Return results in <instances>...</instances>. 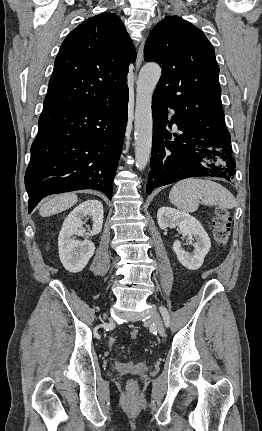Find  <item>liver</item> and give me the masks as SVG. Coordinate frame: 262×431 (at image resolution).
I'll return each mask as SVG.
<instances>
[{
	"instance_id": "1",
	"label": "liver",
	"mask_w": 262,
	"mask_h": 431,
	"mask_svg": "<svg viewBox=\"0 0 262 431\" xmlns=\"http://www.w3.org/2000/svg\"><path fill=\"white\" fill-rule=\"evenodd\" d=\"M78 201L75 193H64L51 197L39 209V214L42 217H49L58 214L62 211L71 208Z\"/></svg>"
}]
</instances>
